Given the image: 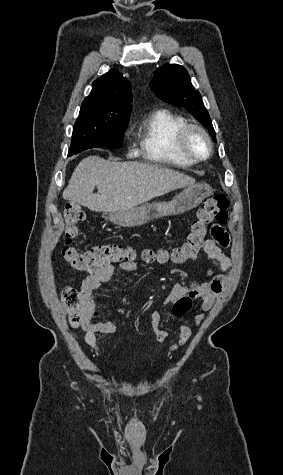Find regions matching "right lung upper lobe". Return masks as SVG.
I'll return each instance as SVG.
<instances>
[{
  "label": "right lung upper lobe",
  "instance_id": "cb5924a9",
  "mask_svg": "<svg viewBox=\"0 0 283 475\" xmlns=\"http://www.w3.org/2000/svg\"><path fill=\"white\" fill-rule=\"evenodd\" d=\"M93 88L82 104L100 106L131 105V85L116 69L110 70L92 84Z\"/></svg>",
  "mask_w": 283,
  "mask_h": 475
}]
</instances>
